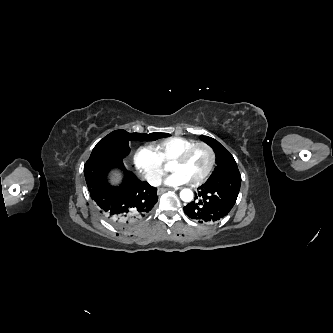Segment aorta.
<instances>
[{
  "label": "aorta",
  "instance_id": "1",
  "mask_svg": "<svg viewBox=\"0 0 333 333\" xmlns=\"http://www.w3.org/2000/svg\"><path fill=\"white\" fill-rule=\"evenodd\" d=\"M180 198L184 202H190L193 199V192L190 189L185 188V189L181 190Z\"/></svg>",
  "mask_w": 333,
  "mask_h": 333
}]
</instances>
